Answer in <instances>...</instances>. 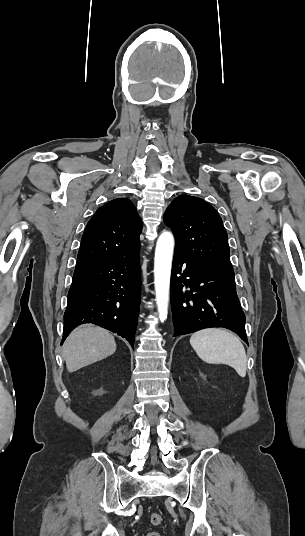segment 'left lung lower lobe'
I'll return each mask as SVG.
<instances>
[{"mask_svg": "<svg viewBox=\"0 0 305 536\" xmlns=\"http://www.w3.org/2000/svg\"><path fill=\"white\" fill-rule=\"evenodd\" d=\"M170 299L174 336L224 327L248 344L233 270L192 261L175 252Z\"/></svg>", "mask_w": 305, "mask_h": 536, "instance_id": "0a47b994", "label": "left lung lower lobe"}]
</instances>
